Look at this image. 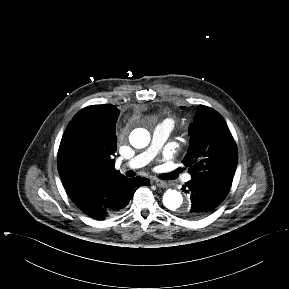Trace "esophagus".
Wrapping results in <instances>:
<instances>
[{
    "label": "esophagus",
    "mask_w": 289,
    "mask_h": 289,
    "mask_svg": "<svg viewBox=\"0 0 289 289\" xmlns=\"http://www.w3.org/2000/svg\"><path fill=\"white\" fill-rule=\"evenodd\" d=\"M154 183L158 186V187H166L167 183L165 181L159 180V179H154Z\"/></svg>",
    "instance_id": "obj_1"
}]
</instances>
